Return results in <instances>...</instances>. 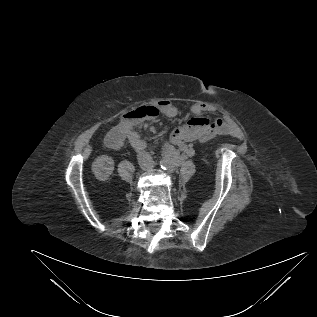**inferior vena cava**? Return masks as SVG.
Returning <instances> with one entry per match:
<instances>
[{
	"mask_svg": "<svg viewBox=\"0 0 317 317\" xmlns=\"http://www.w3.org/2000/svg\"><path fill=\"white\" fill-rule=\"evenodd\" d=\"M138 163L143 169H150L154 166L151 155L146 151H141L137 155Z\"/></svg>",
	"mask_w": 317,
	"mask_h": 317,
	"instance_id": "1",
	"label": "inferior vena cava"
}]
</instances>
